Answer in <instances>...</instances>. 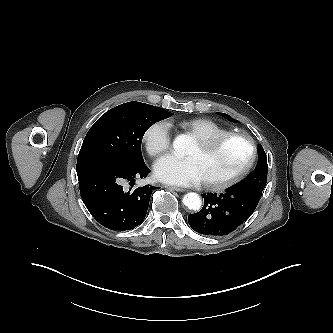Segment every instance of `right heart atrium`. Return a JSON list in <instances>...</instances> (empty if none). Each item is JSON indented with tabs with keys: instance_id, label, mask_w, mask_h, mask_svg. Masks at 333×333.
Wrapping results in <instances>:
<instances>
[{
	"instance_id": "1",
	"label": "right heart atrium",
	"mask_w": 333,
	"mask_h": 333,
	"mask_svg": "<svg viewBox=\"0 0 333 333\" xmlns=\"http://www.w3.org/2000/svg\"><path fill=\"white\" fill-rule=\"evenodd\" d=\"M171 128L165 120L150 124L143 133V142L149 155L156 157L166 152L171 145Z\"/></svg>"
}]
</instances>
